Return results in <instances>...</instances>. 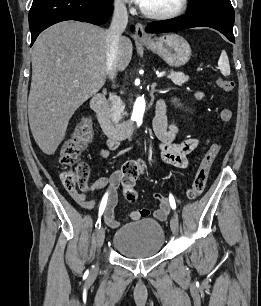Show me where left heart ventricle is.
Here are the masks:
<instances>
[{"label":"left heart ventricle","mask_w":261,"mask_h":306,"mask_svg":"<svg viewBox=\"0 0 261 306\" xmlns=\"http://www.w3.org/2000/svg\"><path fill=\"white\" fill-rule=\"evenodd\" d=\"M179 3L180 0H146L142 6L153 12H168L174 10Z\"/></svg>","instance_id":"1"}]
</instances>
